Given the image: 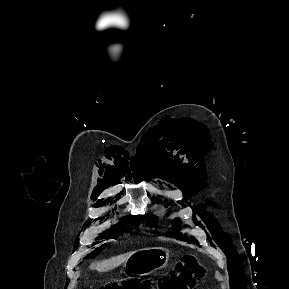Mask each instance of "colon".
Returning a JSON list of instances; mask_svg holds the SVG:
<instances>
[{
    "instance_id": "5ec220e1",
    "label": "colon",
    "mask_w": 289,
    "mask_h": 289,
    "mask_svg": "<svg viewBox=\"0 0 289 289\" xmlns=\"http://www.w3.org/2000/svg\"><path fill=\"white\" fill-rule=\"evenodd\" d=\"M204 275L205 270L195 263L194 257L186 255L171 274L162 278L157 287L148 280L127 279L110 282L101 289H193Z\"/></svg>"
}]
</instances>
